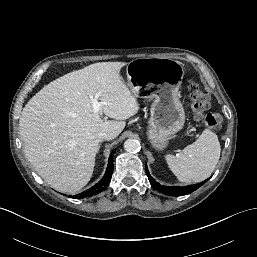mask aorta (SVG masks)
I'll return each mask as SVG.
<instances>
[{
  "instance_id": "obj_1",
  "label": "aorta",
  "mask_w": 257,
  "mask_h": 257,
  "mask_svg": "<svg viewBox=\"0 0 257 257\" xmlns=\"http://www.w3.org/2000/svg\"><path fill=\"white\" fill-rule=\"evenodd\" d=\"M140 148L141 147L139 141L134 139H128L124 143V149L129 153H136L140 150Z\"/></svg>"
}]
</instances>
